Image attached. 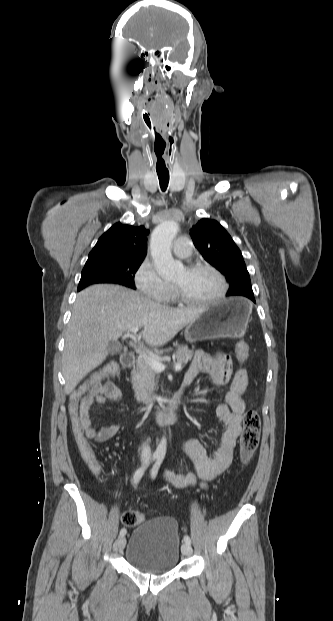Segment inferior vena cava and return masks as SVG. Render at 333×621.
<instances>
[{
  "mask_svg": "<svg viewBox=\"0 0 333 621\" xmlns=\"http://www.w3.org/2000/svg\"><path fill=\"white\" fill-rule=\"evenodd\" d=\"M140 457L143 463H148L151 459V448L147 442L142 445Z\"/></svg>",
  "mask_w": 333,
  "mask_h": 621,
  "instance_id": "602c4592",
  "label": "inferior vena cava"
}]
</instances>
